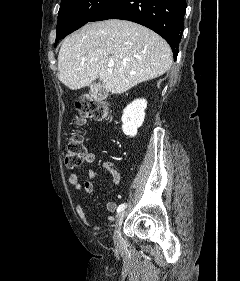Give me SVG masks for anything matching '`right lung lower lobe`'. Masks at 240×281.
<instances>
[{"label":"right lung lower lobe","mask_w":240,"mask_h":281,"mask_svg":"<svg viewBox=\"0 0 240 281\" xmlns=\"http://www.w3.org/2000/svg\"><path fill=\"white\" fill-rule=\"evenodd\" d=\"M185 10L186 0H116L94 21L123 19L146 26L169 43L176 58Z\"/></svg>","instance_id":"obj_1"}]
</instances>
